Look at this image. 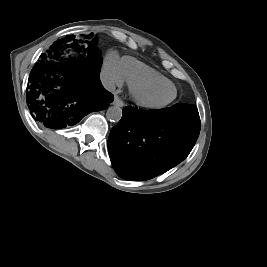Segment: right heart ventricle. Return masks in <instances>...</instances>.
I'll use <instances>...</instances> for the list:
<instances>
[{"instance_id": "obj_1", "label": "right heart ventricle", "mask_w": 267, "mask_h": 267, "mask_svg": "<svg viewBox=\"0 0 267 267\" xmlns=\"http://www.w3.org/2000/svg\"><path fill=\"white\" fill-rule=\"evenodd\" d=\"M121 67L123 77L130 86L144 81H169L162 74L131 57L122 58Z\"/></svg>"}]
</instances>
